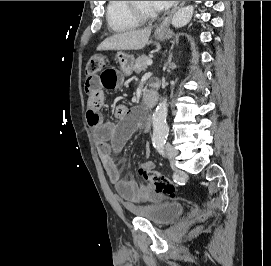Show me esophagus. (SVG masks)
I'll return each instance as SVG.
<instances>
[{"label": "esophagus", "mask_w": 271, "mask_h": 266, "mask_svg": "<svg viewBox=\"0 0 271 266\" xmlns=\"http://www.w3.org/2000/svg\"><path fill=\"white\" fill-rule=\"evenodd\" d=\"M186 1H177L176 5L174 8L171 10V12L168 14V16L162 21V23L157 27L156 32H164L168 29L171 19L174 15V13L184 5Z\"/></svg>", "instance_id": "1"}]
</instances>
